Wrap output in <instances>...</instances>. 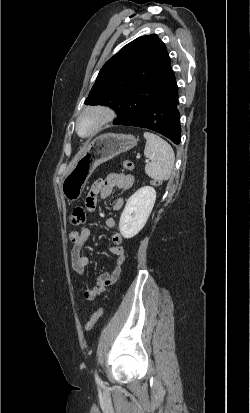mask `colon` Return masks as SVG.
Wrapping results in <instances>:
<instances>
[{"label": "colon", "mask_w": 250, "mask_h": 413, "mask_svg": "<svg viewBox=\"0 0 250 413\" xmlns=\"http://www.w3.org/2000/svg\"><path fill=\"white\" fill-rule=\"evenodd\" d=\"M123 167L127 171H132L134 169V163L131 160H124ZM148 185L150 187H162L164 185V180L162 178H150L148 180ZM89 208L84 204L77 206L73 209L70 217V222L74 226H79L85 223L87 217V211ZM102 316V309H97L89 318L85 325V331H90L99 318Z\"/></svg>", "instance_id": "5ec220e1"}]
</instances>
